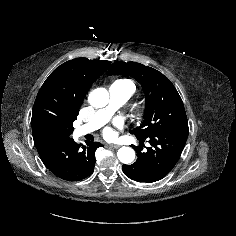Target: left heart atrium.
Returning <instances> with one entry per match:
<instances>
[{
	"label": "left heart atrium",
	"instance_id": "1",
	"mask_svg": "<svg viewBox=\"0 0 236 236\" xmlns=\"http://www.w3.org/2000/svg\"><path fill=\"white\" fill-rule=\"evenodd\" d=\"M117 124H119V123H117ZM103 134L108 139L113 138L115 135L114 131L110 127L105 128Z\"/></svg>",
	"mask_w": 236,
	"mask_h": 236
}]
</instances>
